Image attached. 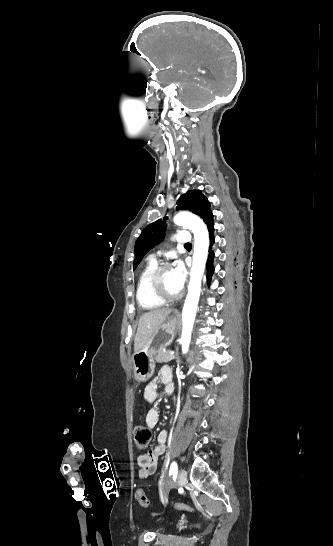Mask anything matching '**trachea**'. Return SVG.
<instances>
[{"instance_id": "trachea-1", "label": "trachea", "mask_w": 333, "mask_h": 546, "mask_svg": "<svg viewBox=\"0 0 333 546\" xmlns=\"http://www.w3.org/2000/svg\"><path fill=\"white\" fill-rule=\"evenodd\" d=\"M191 246H192L191 243L185 244V247H191Z\"/></svg>"}]
</instances>
